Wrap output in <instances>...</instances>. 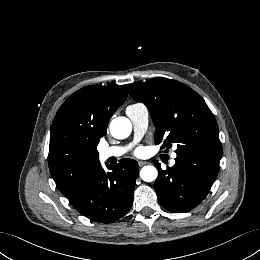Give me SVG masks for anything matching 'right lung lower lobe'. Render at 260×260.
<instances>
[{
    "label": "right lung lower lobe",
    "mask_w": 260,
    "mask_h": 260,
    "mask_svg": "<svg viewBox=\"0 0 260 260\" xmlns=\"http://www.w3.org/2000/svg\"><path fill=\"white\" fill-rule=\"evenodd\" d=\"M100 166L89 181L69 201L87 218L101 223H110L123 217L133 204V192L138 176V163L121 159L117 165Z\"/></svg>",
    "instance_id": "1"
}]
</instances>
